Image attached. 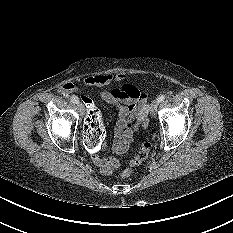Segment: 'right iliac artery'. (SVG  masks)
Masks as SVG:
<instances>
[{"label":"right iliac artery","instance_id":"1","mask_svg":"<svg viewBox=\"0 0 233 233\" xmlns=\"http://www.w3.org/2000/svg\"><path fill=\"white\" fill-rule=\"evenodd\" d=\"M70 100H71L73 103H75V104H78V103H79L78 99H77L75 96H72V97L70 98Z\"/></svg>","mask_w":233,"mask_h":233}]
</instances>
